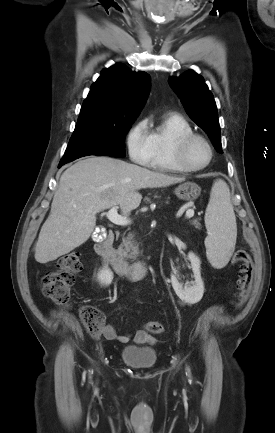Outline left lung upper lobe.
Wrapping results in <instances>:
<instances>
[{
    "label": "left lung upper lobe",
    "instance_id": "obj_1",
    "mask_svg": "<svg viewBox=\"0 0 275 433\" xmlns=\"http://www.w3.org/2000/svg\"><path fill=\"white\" fill-rule=\"evenodd\" d=\"M169 84L189 117L206 132L216 151L222 153L216 103L202 76L188 70L178 78L171 77Z\"/></svg>",
    "mask_w": 275,
    "mask_h": 433
}]
</instances>
